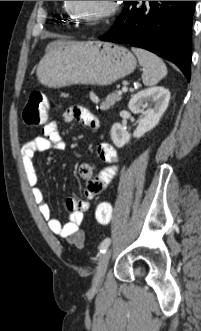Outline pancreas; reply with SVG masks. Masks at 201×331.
I'll use <instances>...</instances> for the list:
<instances>
[{"instance_id": "obj_1", "label": "pancreas", "mask_w": 201, "mask_h": 331, "mask_svg": "<svg viewBox=\"0 0 201 331\" xmlns=\"http://www.w3.org/2000/svg\"><path fill=\"white\" fill-rule=\"evenodd\" d=\"M90 98L92 101H94L95 103H99V100L96 99L94 97V94L91 93L90 94ZM121 94H118L116 92H112L111 94H109L101 103V108L103 110H107L109 109L111 106H113L116 102L121 100Z\"/></svg>"}]
</instances>
